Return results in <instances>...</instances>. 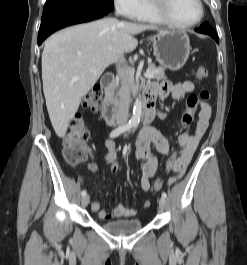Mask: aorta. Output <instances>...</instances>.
Returning <instances> with one entry per match:
<instances>
[{
  "instance_id": "obj_1",
  "label": "aorta",
  "mask_w": 247,
  "mask_h": 265,
  "mask_svg": "<svg viewBox=\"0 0 247 265\" xmlns=\"http://www.w3.org/2000/svg\"><path fill=\"white\" fill-rule=\"evenodd\" d=\"M141 115H142V101L140 99H136L130 123L134 126H137L140 122Z\"/></svg>"
}]
</instances>
